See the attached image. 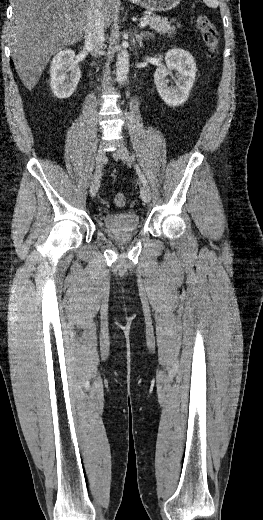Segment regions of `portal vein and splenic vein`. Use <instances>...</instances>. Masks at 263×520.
<instances>
[{
    "label": "portal vein and splenic vein",
    "mask_w": 263,
    "mask_h": 520,
    "mask_svg": "<svg viewBox=\"0 0 263 520\" xmlns=\"http://www.w3.org/2000/svg\"><path fill=\"white\" fill-rule=\"evenodd\" d=\"M65 18L68 19V20L71 19V17L69 15H66ZM148 23H149V21H147V20L146 21H141L139 26L140 27H144V26L148 25Z\"/></svg>",
    "instance_id": "18ae733b"
}]
</instances>
